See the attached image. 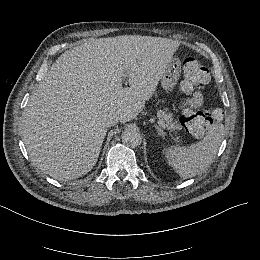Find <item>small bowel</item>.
<instances>
[{
    "instance_id": "obj_1",
    "label": "small bowel",
    "mask_w": 260,
    "mask_h": 260,
    "mask_svg": "<svg viewBox=\"0 0 260 260\" xmlns=\"http://www.w3.org/2000/svg\"><path fill=\"white\" fill-rule=\"evenodd\" d=\"M205 102V98L200 91H195L192 95L186 99H184L180 103V108H192L197 109L201 107Z\"/></svg>"
}]
</instances>
